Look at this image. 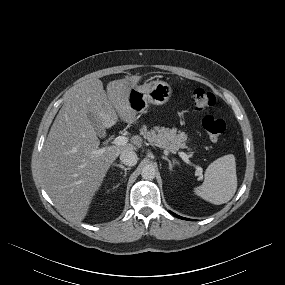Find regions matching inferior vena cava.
Instances as JSON below:
<instances>
[{
	"instance_id": "inferior-vena-cava-1",
	"label": "inferior vena cava",
	"mask_w": 285,
	"mask_h": 285,
	"mask_svg": "<svg viewBox=\"0 0 285 285\" xmlns=\"http://www.w3.org/2000/svg\"><path fill=\"white\" fill-rule=\"evenodd\" d=\"M120 160L127 166H134L138 161V157L134 151L125 150L121 152Z\"/></svg>"
}]
</instances>
